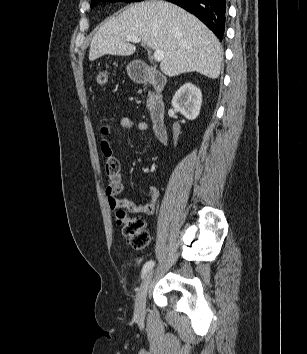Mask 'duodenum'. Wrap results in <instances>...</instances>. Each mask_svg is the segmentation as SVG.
Here are the masks:
<instances>
[{"label":"duodenum","mask_w":307,"mask_h":354,"mask_svg":"<svg viewBox=\"0 0 307 354\" xmlns=\"http://www.w3.org/2000/svg\"><path fill=\"white\" fill-rule=\"evenodd\" d=\"M133 78L138 83H148L155 89L151 97L150 118L156 137L163 143L167 141L168 130L165 119V104L161 92L165 87V77L156 69L144 66L133 72Z\"/></svg>","instance_id":"duodenum-1"}]
</instances>
